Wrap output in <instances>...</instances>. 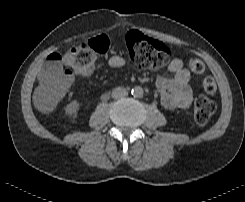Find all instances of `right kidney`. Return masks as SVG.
<instances>
[{
  "mask_svg": "<svg viewBox=\"0 0 245 202\" xmlns=\"http://www.w3.org/2000/svg\"><path fill=\"white\" fill-rule=\"evenodd\" d=\"M78 109H79V103L76 100H74L66 106L65 111L67 115H69L70 117L71 116L74 117Z\"/></svg>",
  "mask_w": 245,
  "mask_h": 202,
  "instance_id": "1",
  "label": "right kidney"
}]
</instances>
